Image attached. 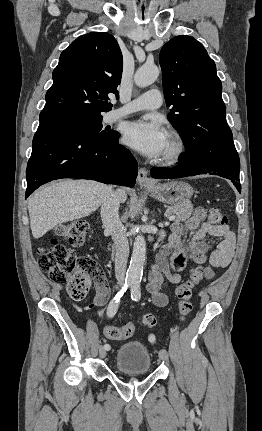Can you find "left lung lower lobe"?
I'll list each match as a JSON object with an SVG mask.
<instances>
[{"label": "left lung lower lobe", "instance_id": "obj_1", "mask_svg": "<svg viewBox=\"0 0 262 431\" xmlns=\"http://www.w3.org/2000/svg\"><path fill=\"white\" fill-rule=\"evenodd\" d=\"M219 162L220 163H218L217 165H212L211 168L181 162L180 165L172 169L152 168L150 173L151 176L155 179L179 178L200 174L218 175L230 179L233 182L234 186L237 188V190L241 192V185L239 180V156H223L222 159H219Z\"/></svg>", "mask_w": 262, "mask_h": 431}]
</instances>
